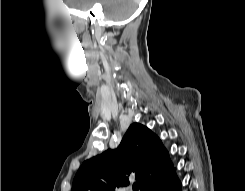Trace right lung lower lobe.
Segmentation results:
<instances>
[{
	"mask_svg": "<svg viewBox=\"0 0 245 191\" xmlns=\"http://www.w3.org/2000/svg\"><path fill=\"white\" fill-rule=\"evenodd\" d=\"M146 191H182V184L176 176L175 169L172 167L154 184L149 186Z\"/></svg>",
	"mask_w": 245,
	"mask_h": 191,
	"instance_id": "obj_1",
	"label": "right lung lower lobe"
}]
</instances>
